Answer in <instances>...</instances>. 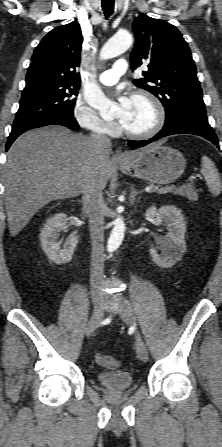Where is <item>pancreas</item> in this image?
Returning a JSON list of instances; mask_svg holds the SVG:
<instances>
[{
	"instance_id": "pancreas-1",
	"label": "pancreas",
	"mask_w": 222,
	"mask_h": 447,
	"mask_svg": "<svg viewBox=\"0 0 222 447\" xmlns=\"http://www.w3.org/2000/svg\"><path fill=\"white\" fill-rule=\"evenodd\" d=\"M150 187L152 188L151 192L157 191L156 186L151 184ZM172 193L174 195H180V196L187 197L191 201L198 200L197 191L195 190L194 186H192L190 184L183 185V186L173 190Z\"/></svg>"
}]
</instances>
